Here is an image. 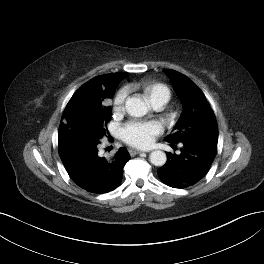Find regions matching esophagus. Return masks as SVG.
I'll list each match as a JSON object with an SVG mask.
<instances>
[{"mask_svg": "<svg viewBox=\"0 0 264 264\" xmlns=\"http://www.w3.org/2000/svg\"><path fill=\"white\" fill-rule=\"evenodd\" d=\"M128 152H129V154H130L131 156H135V155H137V154L142 153V151L134 150V149H129Z\"/></svg>", "mask_w": 264, "mask_h": 264, "instance_id": "obj_1", "label": "esophagus"}]
</instances>
